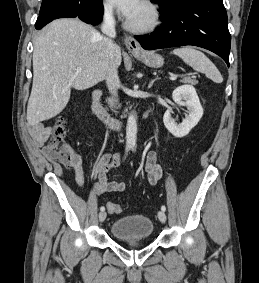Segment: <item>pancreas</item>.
Masks as SVG:
<instances>
[{"mask_svg": "<svg viewBox=\"0 0 259 283\" xmlns=\"http://www.w3.org/2000/svg\"><path fill=\"white\" fill-rule=\"evenodd\" d=\"M182 83H188V84H192V85H195L197 84V81L190 78V77H185L183 80H181ZM109 104L111 107H113L114 103H113V100L109 99Z\"/></svg>", "mask_w": 259, "mask_h": 283, "instance_id": "1", "label": "pancreas"}]
</instances>
